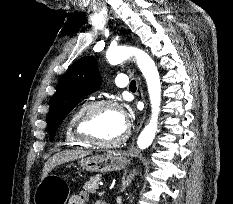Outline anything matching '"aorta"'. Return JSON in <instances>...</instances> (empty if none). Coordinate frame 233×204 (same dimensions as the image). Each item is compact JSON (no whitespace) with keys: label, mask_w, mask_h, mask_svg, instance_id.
<instances>
[{"label":"aorta","mask_w":233,"mask_h":204,"mask_svg":"<svg viewBox=\"0 0 233 204\" xmlns=\"http://www.w3.org/2000/svg\"><path fill=\"white\" fill-rule=\"evenodd\" d=\"M132 56L136 58L137 66L145 77L152 108L151 119L144 127L137 140L138 148L143 150L151 145L158 127V115L161 103V82L157 67L153 59L146 52L131 46L111 48L106 54L108 62L112 65L120 64Z\"/></svg>","instance_id":"obj_1"}]
</instances>
